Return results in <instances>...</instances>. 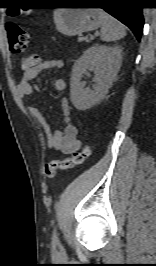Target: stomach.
Segmentation results:
<instances>
[{
    "mask_svg": "<svg viewBox=\"0 0 156 266\" xmlns=\"http://www.w3.org/2000/svg\"><path fill=\"white\" fill-rule=\"evenodd\" d=\"M70 5H78L70 3ZM79 7V6H72ZM56 29L68 36L97 29L102 21L98 9L87 8H59L54 11Z\"/></svg>",
    "mask_w": 156,
    "mask_h": 266,
    "instance_id": "0dacf381",
    "label": "stomach"
}]
</instances>
